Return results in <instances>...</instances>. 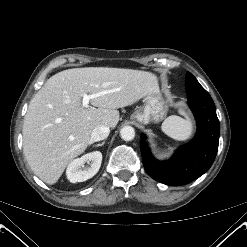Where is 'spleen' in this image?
<instances>
[{
    "label": "spleen",
    "mask_w": 247,
    "mask_h": 247,
    "mask_svg": "<svg viewBox=\"0 0 247 247\" xmlns=\"http://www.w3.org/2000/svg\"><path fill=\"white\" fill-rule=\"evenodd\" d=\"M179 113L184 115L186 119L176 115L169 116L162 123L161 129L169 137L178 141H185L191 136L193 126L184 109L180 108Z\"/></svg>",
    "instance_id": "spleen-1"
}]
</instances>
